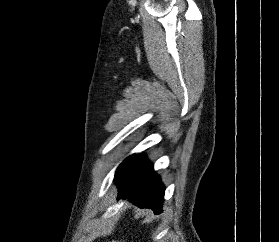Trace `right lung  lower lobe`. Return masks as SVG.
I'll list each match as a JSON object with an SVG mask.
<instances>
[{"mask_svg": "<svg viewBox=\"0 0 279 242\" xmlns=\"http://www.w3.org/2000/svg\"><path fill=\"white\" fill-rule=\"evenodd\" d=\"M119 187L118 199H130L140 208L159 213L164 201V186L146 156L139 154L126 162L115 175Z\"/></svg>", "mask_w": 279, "mask_h": 242, "instance_id": "98d812e1", "label": "right lung lower lobe"}]
</instances>
